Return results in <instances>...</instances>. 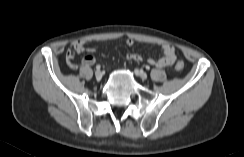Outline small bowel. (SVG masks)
Segmentation results:
<instances>
[{"label":"small bowel","instance_id":"c3829d8e","mask_svg":"<svg viewBox=\"0 0 244 157\" xmlns=\"http://www.w3.org/2000/svg\"><path fill=\"white\" fill-rule=\"evenodd\" d=\"M127 46H132L134 44V40L132 38H128L125 41ZM163 56L158 59L149 58L148 63L152 66L157 68H165L170 67L174 64L176 60V53L175 48L169 44H162L160 46ZM86 50V40L79 39L73 42L71 47L66 52V62L67 65L72 68L76 69L77 65L74 63L73 59L75 58L76 54H80ZM88 52H94V48H88ZM126 58L130 61H140L141 56L136 53H128ZM96 58L93 55H86L82 59V63L87 66H91L95 64Z\"/></svg>","mask_w":244,"mask_h":157}]
</instances>
